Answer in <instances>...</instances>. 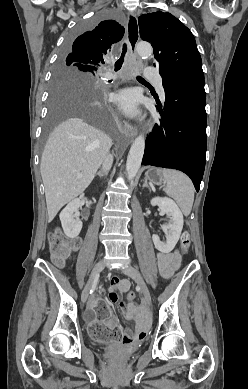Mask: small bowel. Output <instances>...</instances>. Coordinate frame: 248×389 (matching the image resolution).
I'll list each match as a JSON object with an SVG mask.
<instances>
[{
    "label": "small bowel",
    "instance_id": "1",
    "mask_svg": "<svg viewBox=\"0 0 248 389\" xmlns=\"http://www.w3.org/2000/svg\"><path fill=\"white\" fill-rule=\"evenodd\" d=\"M179 254L177 251L158 254V269L164 278H170L179 267ZM130 288L128 280L120 279V273L114 272L111 278V287L109 290V302L117 303L124 312V317L127 321H133L135 324L134 330L126 329L123 332L122 342L128 345H135L142 341L149 332V321L146 316V308L144 305L134 303H124L120 300L121 293H125ZM95 303H92L86 311V319L90 322L95 321L94 318ZM110 326L116 324L114 317L108 322Z\"/></svg>",
    "mask_w": 248,
    "mask_h": 389
}]
</instances>
